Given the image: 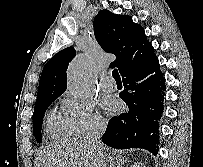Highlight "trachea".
Segmentation results:
<instances>
[{
    "label": "trachea",
    "instance_id": "3493384b",
    "mask_svg": "<svg viewBox=\"0 0 203 167\" xmlns=\"http://www.w3.org/2000/svg\"><path fill=\"white\" fill-rule=\"evenodd\" d=\"M112 76H113V78H114L116 81L121 80L120 75H119V72H118L117 69H114V70L112 71Z\"/></svg>",
    "mask_w": 203,
    "mask_h": 167
}]
</instances>
